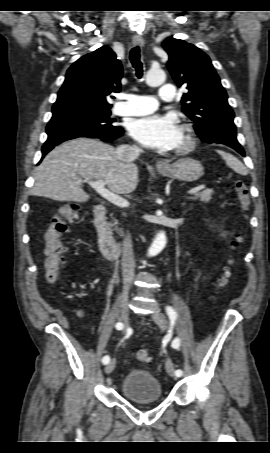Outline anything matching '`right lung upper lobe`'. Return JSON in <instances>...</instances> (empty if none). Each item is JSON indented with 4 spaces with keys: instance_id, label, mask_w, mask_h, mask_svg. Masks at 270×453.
I'll use <instances>...</instances> for the list:
<instances>
[{
    "instance_id": "right-lung-upper-lobe-1",
    "label": "right lung upper lobe",
    "mask_w": 270,
    "mask_h": 453,
    "mask_svg": "<svg viewBox=\"0 0 270 453\" xmlns=\"http://www.w3.org/2000/svg\"><path fill=\"white\" fill-rule=\"evenodd\" d=\"M122 73L120 61L108 46L84 55L68 69L52 118L110 110L106 96L120 91Z\"/></svg>"
}]
</instances>
